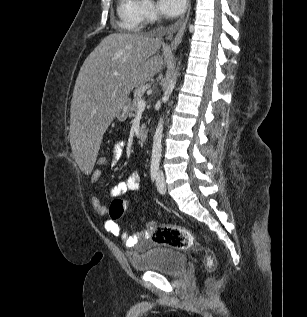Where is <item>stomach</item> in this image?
I'll use <instances>...</instances> for the list:
<instances>
[{
    "label": "stomach",
    "mask_w": 307,
    "mask_h": 317,
    "mask_svg": "<svg viewBox=\"0 0 307 317\" xmlns=\"http://www.w3.org/2000/svg\"><path fill=\"white\" fill-rule=\"evenodd\" d=\"M129 107H130V101L127 98L125 102L120 106V108L117 110L115 117L119 121H125L127 117L129 116Z\"/></svg>",
    "instance_id": "1"
}]
</instances>
